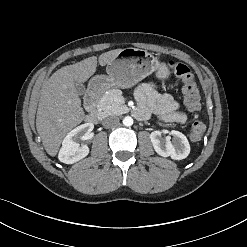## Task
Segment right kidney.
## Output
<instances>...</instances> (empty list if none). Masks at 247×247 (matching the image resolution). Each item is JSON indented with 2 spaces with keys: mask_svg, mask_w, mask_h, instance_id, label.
<instances>
[{
  "mask_svg": "<svg viewBox=\"0 0 247 247\" xmlns=\"http://www.w3.org/2000/svg\"><path fill=\"white\" fill-rule=\"evenodd\" d=\"M93 128L92 123H85L69 132L64 138L59 151V160L66 164H73L85 158L89 154V148L87 145H80L79 141L86 139Z\"/></svg>",
  "mask_w": 247,
  "mask_h": 247,
  "instance_id": "ca27d5eb",
  "label": "right kidney"
}]
</instances>
